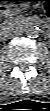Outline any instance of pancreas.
Here are the masks:
<instances>
[{
    "label": "pancreas",
    "instance_id": "obj_1",
    "mask_svg": "<svg viewBox=\"0 0 50 111\" xmlns=\"http://www.w3.org/2000/svg\"><path fill=\"white\" fill-rule=\"evenodd\" d=\"M17 23H18V21L15 19L5 20L3 22V27H12V26H15Z\"/></svg>",
    "mask_w": 50,
    "mask_h": 111
}]
</instances>
